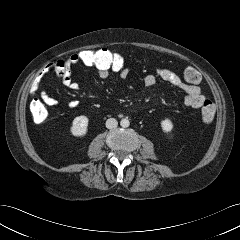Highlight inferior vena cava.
I'll use <instances>...</instances> for the list:
<instances>
[{"label": "inferior vena cava", "instance_id": "602c4592", "mask_svg": "<svg viewBox=\"0 0 240 240\" xmlns=\"http://www.w3.org/2000/svg\"><path fill=\"white\" fill-rule=\"evenodd\" d=\"M118 125V122L116 119L114 118H109L107 121H106V127L108 129H112V128H116Z\"/></svg>", "mask_w": 240, "mask_h": 240}]
</instances>
